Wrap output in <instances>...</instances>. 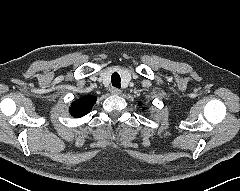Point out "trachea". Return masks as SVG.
<instances>
[{
    "label": "trachea",
    "instance_id": "3493384b",
    "mask_svg": "<svg viewBox=\"0 0 240 191\" xmlns=\"http://www.w3.org/2000/svg\"><path fill=\"white\" fill-rule=\"evenodd\" d=\"M111 82L112 85L116 88H120L121 87V79H120V75L118 73H113L111 76Z\"/></svg>",
    "mask_w": 240,
    "mask_h": 191
}]
</instances>
